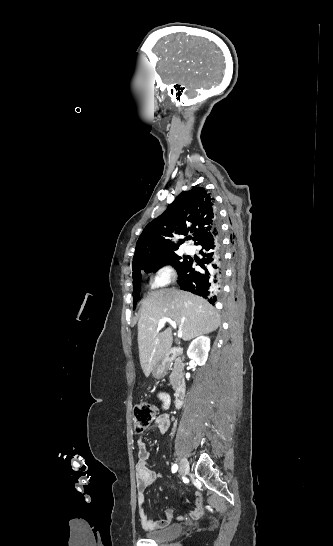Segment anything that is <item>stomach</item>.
I'll use <instances>...</instances> for the list:
<instances>
[{"label":"stomach","instance_id":"1","mask_svg":"<svg viewBox=\"0 0 333 546\" xmlns=\"http://www.w3.org/2000/svg\"><path fill=\"white\" fill-rule=\"evenodd\" d=\"M168 368H169V361H168V358L164 356L154 366L153 377L156 379L163 378L167 374Z\"/></svg>","mask_w":333,"mask_h":546}]
</instances>
